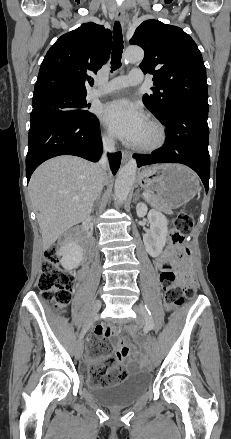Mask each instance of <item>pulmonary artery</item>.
Listing matches in <instances>:
<instances>
[{
	"mask_svg": "<svg viewBox=\"0 0 231 439\" xmlns=\"http://www.w3.org/2000/svg\"><path fill=\"white\" fill-rule=\"evenodd\" d=\"M143 82V73L139 69L132 70L128 75L118 76L112 79L104 88L95 89L90 93L91 98L100 97L102 95L112 93L114 91L139 85Z\"/></svg>",
	"mask_w": 231,
	"mask_h": 439,
	"instance_id": "obj_1",
	"label": "pulmonary artery"
}]
</instances>
